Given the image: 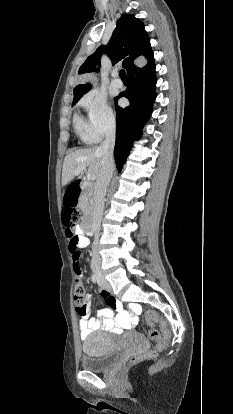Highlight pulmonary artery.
<instances>
[{
  "mask_svg": "<svg viewBox=\"0 0 233 414\" xmlns=\"http://www.w3.org/2000/svg\"><path fill=\"white\" fill-rule=\"evenodd\" d=\"M112 84L117 88H121L123 86V83L116 72L113 75Z\"/></svg>",
  "mask_w": 233,
  "mask_h": 414,
  "instance_id": "e3ab8cb5",
  "label": "pulmonary artery"
}]
</instances>
